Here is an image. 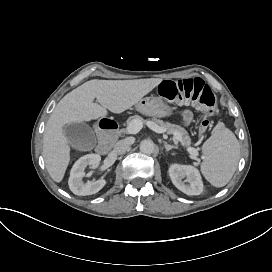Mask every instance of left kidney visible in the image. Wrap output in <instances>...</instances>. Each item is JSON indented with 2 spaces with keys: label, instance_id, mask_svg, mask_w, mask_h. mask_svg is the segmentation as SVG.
<instances>
[{
  "label": "left kidney",
  "instance_id": "left-kidney-1",
  "mask_svg": "<svg viewBox=\"0 0 272 272\" xmlns=\"http://www.w3.org/2000/svg\"><path fill=\"white\" fill-rule=\"evenodd\" d=\"M169 176L175 187L187 195H200L203 192L201 175L198 169L191 165L172 164ZM185 177L186 180L183 181Z\"/></svg>",
  "mask_w": 272,
  "mask_h": 272
}]
</instances>
